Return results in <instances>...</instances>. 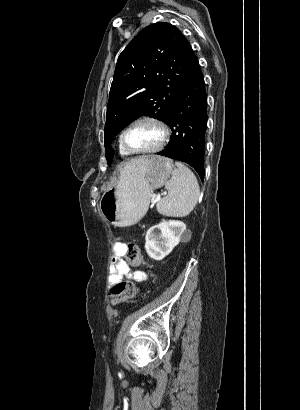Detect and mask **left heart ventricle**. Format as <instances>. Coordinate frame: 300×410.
Returning <instances> with one entry per match:
<instances>
[{
	"mask_svg": "<svg viewBox=\"0 0 300 410\" xmlns=\"http://www.w3.org/2000/svg\"><path fill=\"white\" fill-rule=\"evenodd\" d=\"M162 133L151 122H140L132 126L125 134V144L132 149L142 150L155 147L161 140Z\"/></svg>",
	"mask_w": 300,
	"mask_h": 410,
	"instance_id": "b2bd125f",
	"label": "left heart ventricle"
}]
</instances>
